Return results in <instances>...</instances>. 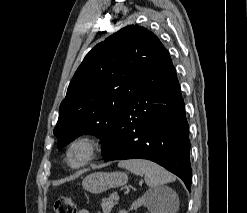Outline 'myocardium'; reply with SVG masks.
<instances>
[{"mask_svg": "<svg viewBox=\"0 0 247 213\" xmlns=\"http://www.w3.org/2000/svg\"><path fill=\"white\" fill-rule=\"evenodd\" d=\"M100 149L101 141L96 136L90 134L78 135L67 144L64 161L69 168L79 170L91 164L97 158ZM76 150H82L83 152L82 158L78 162H74L72 159V154Z\"/></svg>", "mask_w": 247, "mask_h": 213, "instance_id": "myocardium-1", "label": "myocardium"}]
</instances>
